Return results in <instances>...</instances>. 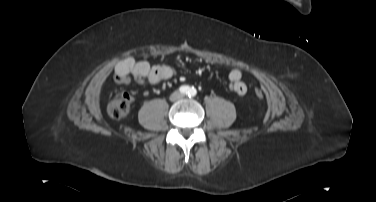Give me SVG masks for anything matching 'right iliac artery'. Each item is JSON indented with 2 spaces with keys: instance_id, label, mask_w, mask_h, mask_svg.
Here are the masks:
<instances>
[{
  "instance_id": "obj_1",
  "label": "right iliac artery",
  "mask_w": 376,
  "mask_h": 202,
  "mask_svg": "<svg viewBox=\"0 0 376 202\" xmlns=\"http://www.w3.org/2000/svg\"><path fill=\"white\" fill-rule=\"evenodd\" d=\"M179 90H180V92H181L182 94H187V93H189L190 88H189L188 86H186V85H183V86H181V87L179 88Z\"/></svg>"
}]
</instances>
